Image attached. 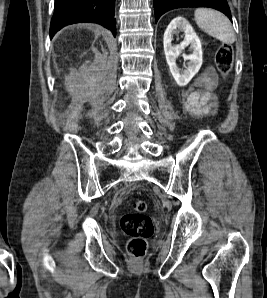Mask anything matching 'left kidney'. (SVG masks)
<instances>
[{"instance_id":"5707ae66","label":"left kidney","mask_w":267,"mask_h":298,"mask_svg":"<svg viewBox=\"0 0 267 298\" xmlns=\"http://www.w3.org/2000/svg\"><path fill=\"white\" fill-rule=\"evenodd\" d=\"M177 29L183 31L185 37L180 45L173 46L172 37ZM163 45L166 61L174 80L180 87L187 85L194 75L198 73L203 61L202 46L199 37L185 18L176 17L170 22L164 33ZM187 46H190L192 54H183L184 59L189 60V62L188 67H185L183 71H180L176 65V59Z\"/></svg>"}]
</instances>
